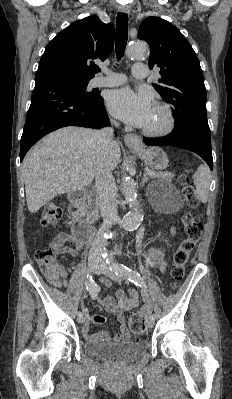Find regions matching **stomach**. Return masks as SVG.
Wrapping results in <instances>:
<instances>
[{"instance_id": "obj_1", "label": "stomach", "mask_w": 232, "mask_h": 399, "mask_svg": "<svg viewBox=\"0 0 232 399\" xmlns=\"http://www.w3.org/2000/svg\"><path fill=\"white\" fill-rule=\"evenodd\" d=\"M131 152L138 154L144 160L146 166H150L153 170H164V168H167L168 158L161 148H156V146L155 148H145L140 142V150L132 148Z\"/></svg>"}]
</instances>
